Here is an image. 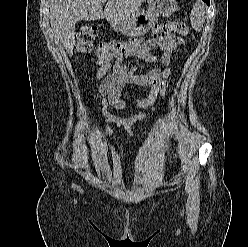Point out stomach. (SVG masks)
I'll return each instance as SVG.
<instances>
[{"label": "stomach", "instance_id": "0dacf381", "mask_svg": "<svg viewBox=\"0 0 248 247\" xmlns=\"http://www.w3.org/2000/svg\"><path fill=\"white\" fill-rule=\"evenodd\" d=\"M148 10H139L130 19L111 23L114 31L131 37L145 35L158 21L160 16L168 17L177 10L176 0H147Z\"/></svg>", "mask_w": 248, "mask_h": 247}]
</instances>
